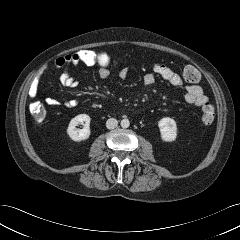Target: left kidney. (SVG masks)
<instances>
[{"instance_id": "1", "label": "left kidney", "mask_w": 240, "mask_h": 240, "mask_svg": "<svg viewBox=\"0 0 240 240\" xmlns=\"http://www.w3.org/2000/svg\"><path fill=\"white\" fill-rule=\"evenodd\" d=\"M161 139L165 142H173L177 137V125L174 119L164 117L158 121Z\"/></svg>"}]
</instances>
